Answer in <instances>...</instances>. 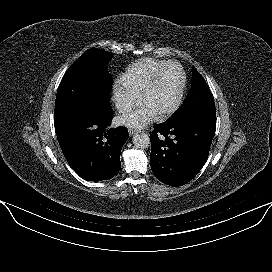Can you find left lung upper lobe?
I'll list each match as a JSON object with an SVG mask.
<instances>
[{
	"mask_svg": "<svg viewBox=\"0 0 272 272\" xmlns=\"http://www.w3.org/2000/svg\"><path fill=\"white\" fill-rule=\"evenodd\" d=\"M215 110V103L208 85L201 74L193 67L191 89L182 106L169 120H176L181 116L203 113Z\"/></svg>",
	"mask_w": 272,
	"mask_h": 272,
	"instance_id": "5c2ea615",
	"label": "left lung upper lobe"
}]
</instances>
